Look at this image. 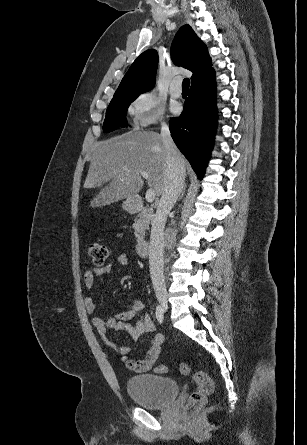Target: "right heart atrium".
<instances>
[{
	"label": "right heart atrium",
	"mask_w": 307,
	"mask_h": 445,
	"mask_svg": "<svg viewBox=\"0 0 307 445\" xmlns=\"http://www.w3.org/2000/svg\"><path fill=\"white\" fill-rule=\"evenodd\" d=\"M163 113V99L153 90H148L136 100V113L133 122L136 126H152L162 120Z\"/></svg>",
	"instance_id": "right-heart-atrium-1"
}]
</instances>
